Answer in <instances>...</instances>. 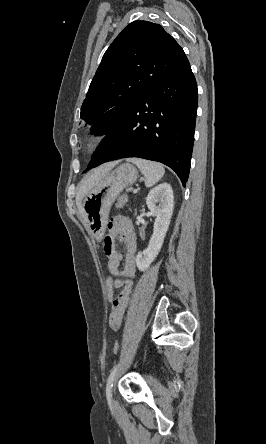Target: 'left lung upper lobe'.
<instances>
[{"mask_svg":"<svg viewBox=\"0 0 266 444\" xmlns=\"http://www.w3.org/2000/svg\"><path fill=\"white\" fill-rule=\"evenodd\" d=\"M159 24L134 21L109 46L81 107L92 133L110 132L185 57Z\"/></svg>","mask_w":266,"mask_h":444,"instance_id":"left-lung-upper-lobe-1","label":"left lung upper lobe"}]
</instances>
